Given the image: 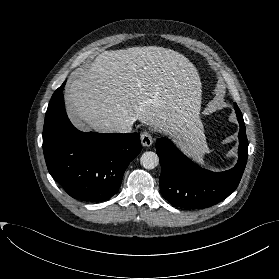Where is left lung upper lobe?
Masks as SVG:
<instances>
[{
    "label": "left lung upper lobe",
    "mask_w": 279,
    "mask_h": 279,
    "mask_svg": "<svg viewBox=\"0 0 279 279\" xmlns=\"http://www.w3.org/2000/svg\"><path fill=\"white\" fill-rule=\"evenodd\" d=\"M235 111H236V115H242L240 109L238 108L237 104L234 105Z\"/></svg>",
    "instance_id": "left-lung-upper-lobe-1"
}]
</instances>
